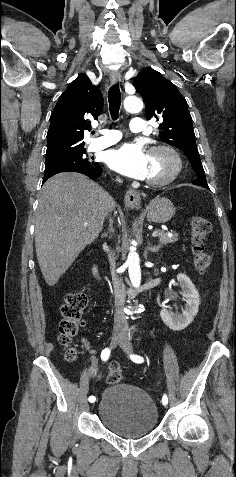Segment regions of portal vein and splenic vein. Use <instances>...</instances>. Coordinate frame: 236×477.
I'll use <instances>...</instances> for the list:
<instances>
[{"label":"portal vein and splenic vein","mask_w":236,"mask_h":477,"mask_svg":"<svg viewBox=\"0 0 236 477\" xmlns=\"http://www.w3.org/2000/svg\"><path fill=\"white\" fill-rule=\"evenodd\" d=\"M152 236L157 237L158 236V231H153Z\"/></svg>","instance_id":"18ae733b"}]
</instances>
